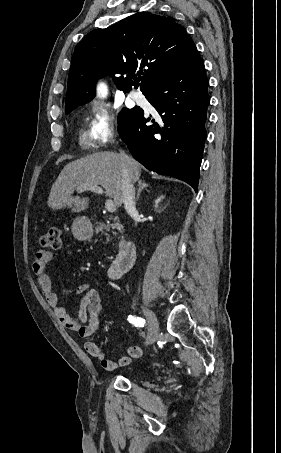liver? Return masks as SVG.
<instances>
[{
	"mask_svg": "<svg viewBox=\"0 0 281 453\" xmlns=\"http://www.w3.org/2000/svg\"><path fill=\"white\" fill-rule=\"evenodd\" d=\"M126 166L131 182H136L141 176V164L129 158L125 164L118 152L102 150L92 152L82 158L68 162L62 168L59 176L51 186L48 196V206L64 208L69 206L72 212H81L90 204L89 196H72L74 188L86 184H101L105 188L106 196L114 198L116 206L123 202L122 170Z\"/></svg>",
	"mask_w": 281,
	"mask_h": 453,
	"instance_id": "liver-1",
	"label": "liver"
}]
</instances>
